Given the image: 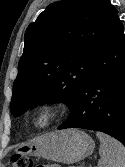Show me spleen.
<instances>
[{"instance_id":"1","label":"spleen","mask_w":125,"mask_h":167,"mask_svg":"<svg viewBox=\"0 0 125 167\" xmlns=\"http://www.w3.org/2000/svg\"><path fill=\"white\" fill-rule=\"evenodd\" d=\"M100 140L98 167H125V147L116 139L97 132Z\"/></svg>"}]
</instances>
